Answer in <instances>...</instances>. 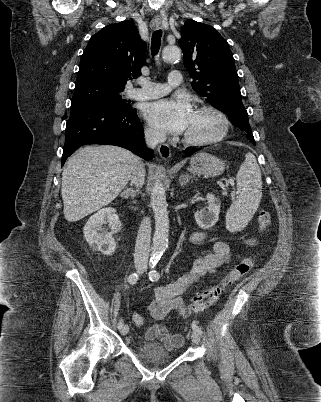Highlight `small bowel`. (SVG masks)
I'll return each mask as SVG.
<instances>
[{
    "label": "small bowel",
    "mask_w": 321,
    "mask_h": 402,
    "mask_svg": "<svg viewBox=\"0 0 321 402\" xmlns=\"http://www.w3.org/2000/svg\"><path fill=\"white\" fill-rule=\"evenodd\" d=\"M190 240L195 245H202L207 241V235L203 232H192ZM245 243L254 246L256 240L247 238ZM230 255L229 245L225 241L218 240L213 244L212 251L195 259L188 272L169 284L155 287L154 300L148 307L151 317L156 321H161L171 312H176L182 317H188L190 311L187 309L181 294L199 278L215 272L220 266L226 264ZM145 338L147 340H159L168 348L182 344V336L178 333L169 332L161 323H155L148 327Z\"/></svg>",
    "instance_id": "small-bowel-1"
}]
</instances>
